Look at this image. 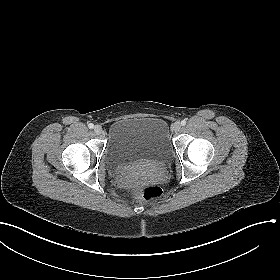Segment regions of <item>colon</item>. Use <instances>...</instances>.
<instances>
[{
    "instance_id": "colon-1",
    "label": "colon",
    "mask_w": 280,
    "mask_h": 280,
    "mask_svg": "<svg viewBox=\"0 0 280 280\" xmlns=\"http://www.w3.org/2000/svg\"><path fill=\"white\" fill-rule=\"evenodd\" d=\"M134 193L145 201L156 200L162 194L161 189L155 185H138L134 188Z\"/></svg>"
}]
</instances>
